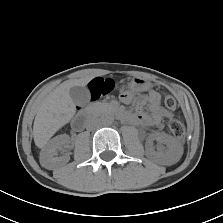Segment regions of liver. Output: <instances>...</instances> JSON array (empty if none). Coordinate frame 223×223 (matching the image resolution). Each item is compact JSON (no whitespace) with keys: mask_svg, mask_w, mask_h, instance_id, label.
<instances>
[{"mask_svg":"<svg viewBox=\"0 0 223 223\" xmlns=\"http://www.w3.org/2000/svg\"><path fill=\"white\" fill-rule=\"evenodd\" d=\"M91 79L67 80L44 99L33 125L34 142L38 148H44L49 139L73 118L76 105L70 96V89L73 86H85Z\"/></svg>","mask_w":223,"mask_h":223,"instance_id":"6515ba94","label":"liver"}]
</instances>
